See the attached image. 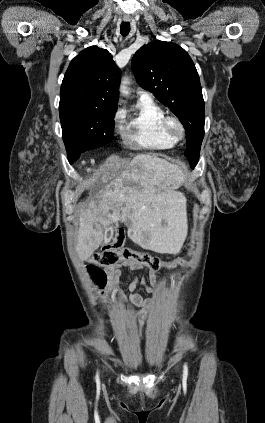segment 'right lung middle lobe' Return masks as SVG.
Returning <instances> with one entry per match:
<instances>
[{
	"instance_id": "dd1d6c3e",
	"label": "right lung middle lobe",
	"mask_w": 265,
	"mask_h": 423,
	"mask_svg": "<svg viewBox=\"0 0 265 423\" xmlns=\"http://www.w3.org/2000/svg\"><path fill=\"white\" fill-rule=\"evenodd\" d=\"M115 110L92 105L65 102L59 104V115L70 164L81 152L111 141Z\"/></svg>"
}]
</instances>
